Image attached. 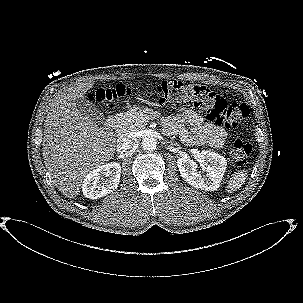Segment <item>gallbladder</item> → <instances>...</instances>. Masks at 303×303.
Listing matches in <instances>:
<instances>
[{
  "label": "gallbladder",
  "mask_w": 303,
  "mask_h": 303,
  "mask_svg": "<svg viewBox=\"0 0 303 303\" xmlns=\"http://www.w3.org/2000/svg\"><path fill=\"white\" fill-rule=\"evenodd\" d=\"M76 107L82 115L89 117L94 122L100 123L104 119L103 114L84 97L76 100Z\"/></svg>",
  "instance_id": "1"
}]
</instances>
